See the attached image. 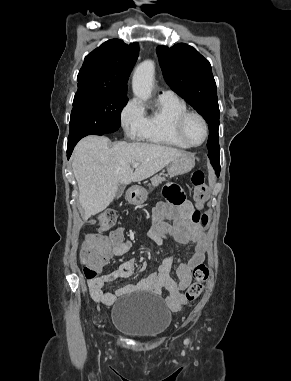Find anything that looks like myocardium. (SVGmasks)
<instances>
[{
	"label": "myocardium",
	"mask_w": 291,
	"mask_h": 381,
	"mask_svg": "<svg viewBox=\"0 0 291 381\" xmlns=\"http://www.w3.org/2000/svg\"><path fill=\"white\" fill-rule=\"evenodd\" d=\"M190 117H197L203 124V127H204V137H203V140L198 143V144H194L192 143L189 138L187 137L186 135V132H185V123L187 121L188 118ZM176 132L178 134V136L189 146V147H199L201 145H203L208 136H209V126H208V123H207V120L205 119V117L198 113V112H194V111H187L185 113H183L176 121Z\"/></svg>",
	"instance_id": "f54148a6"
}]
</instances>
